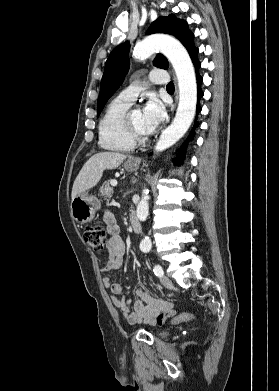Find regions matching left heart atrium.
Wrapping results in <instances>:
<instances>
[{
	"mask_svg": "<svg viewBox=\"0 0 279 391\" xmlns=\"http://www.w3.org/2000/svg\"><path fill=\"white\" fill-rule=\"evenodd\" d=\"M144 125L148 133H152L165 118V110L155 97H150L142 110Z\"/></svg>",
	"mask_w": 279,
	"mask_h": 391,
	"instance_id": "1",
	"label": "left heart atrium"
}]
</instances>
